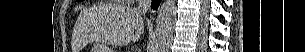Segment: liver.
<instances>
[{"mask_svg":"<svg viewBox=\"0 0 305 52\" xmlns=\"http://www.w3.org/2000/svg\"><path fill=\"white\" fill-rule=\"evenodd\" d=\"M82 26L89 41L128 45L144 32L142 13L123 5H105L84 12Z\"/></svg>","mask_w":305,"mask_h":52,"instance_id":"6515ba94","label":"liver"}]
</instances>
